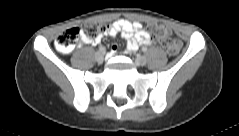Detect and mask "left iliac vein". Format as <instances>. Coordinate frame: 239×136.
I'll return each instance as SVG.
<instances>
[{"label":"left iliac vein","mask_w":239,"mask_h":136,"mask_svg":"<svg viewBox=\"0 0 239 136\" xmlns=\"http://www.w3.org/2000/svg\"><path fill=\"white\" fill-rule=\"evenodd\" d=\"M147 62V59L145 56H141V55H137L136 59H135V63L138 65V66H141V65H145Z\"/></svg>","instance_id":"4c4485c4"}]
</instances>
